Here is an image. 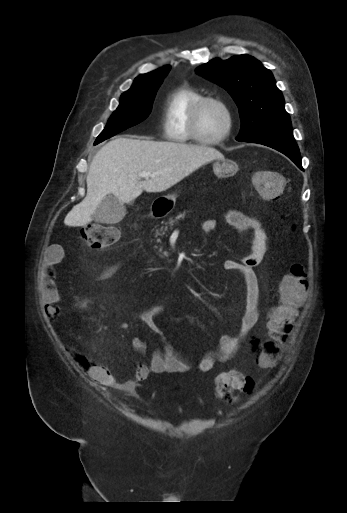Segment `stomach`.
I'll return each mask as SVG.
<instances>
[{"instance_id": "1", "label": "stomach", "mask_w": 347, "mask_h": 513, "mask_svg": "<svg viewBox=\"0 0 347 513\" xmlns=\"http://www.w3.org/2000/svg\"><path fill=\"white\" fill-rule=\"evenodd\" d=\"M238 170V165L233 160L219 159L213 163V172L219 178H226L235 174ZM171 203L175 202V195H167L164 198Z\"/></svg>"}]
</instances>
